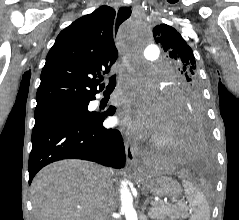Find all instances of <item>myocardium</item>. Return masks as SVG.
Instances as JSON below:
<instances>
[{
  "mask_svg": "<svg viewBox=\"0 0 239 220\" xmlns=\"http://www.w3.org/2000/svg\"><path fill=\"white\" fill-rule=\"evenodd\" d=\"M163 143V141L162 140H160L157 144L158 145H161Z\"/></svg>",
  "mask_w": 239,
  "mask_h": 220,
  "instance_id": "myocardium-1",
  "label": "myocardium"
}]
</instances>
